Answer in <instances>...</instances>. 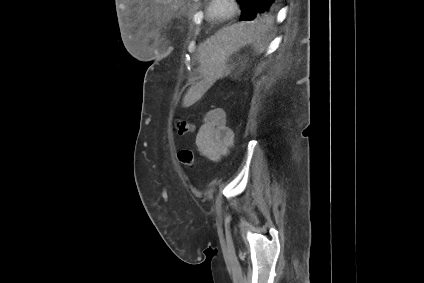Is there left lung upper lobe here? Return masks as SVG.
<instances>
[{
  "label": "left lung upper lobe",
  "instance_id": "5c2ea615",
  "mask_svg": "<svg viewBox=\"0 0 424 283\" xmlns=\"http://www.w3.org/2000/svg\"><path fill=\"white\" fill-rule=\"evenodd\" d=\"M241 5L242 15L240 20H253L254 18H267L270 17L273 12L265 14H257L260 2L263 0H237Z\"/></svg>",
  "mask_w": 424,
  "mask_h": 283
}]
</instances>
